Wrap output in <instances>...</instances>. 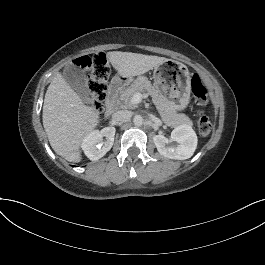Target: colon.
Instances as JSON below:
<instances>
[{
    "mask_svg": "<svg viewBox=\"0 0 265 265\" xmlns=\"http://www.w3.org/2000/svg\"><path fill=\"white\" fill-rule=\"evenodd\" d=\"M74 65L90 72L88 103L95 109H100L106 97V82L109 76V62L106 55L98 53L93 56H82L74 61ZM191 88L196 104L203 108L207 104L208 93L200 77L196 74L191 78ZM198 130L203 136L208 135L212 130V123L202 110L198 119Z\"/></svg>",
    "mask_w": 265,
    "mask_h": 265,
    "instance_id": "colon-1",
    "label": "colon"
}]
</instances>
